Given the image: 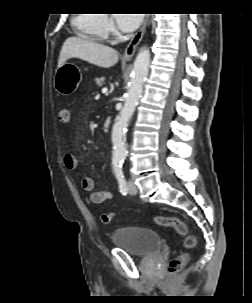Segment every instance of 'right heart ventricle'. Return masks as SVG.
<instances>
[{"label": "right heart ventricle", "instance_id": "1", "mask_svg": "<svg viewBox=\"0 0 252 303\" xmlns=\"http://www.w3.org/2000/svg\"><path fill=\"white\" fill-rule=\"evenodd\" d=\"M103 19L104 15L102 14H78L77 17L73 19V22L82 34L103 39L105 36L102 28Z\"/></svg>", "mask_w": 252, "mask_h": 303}]
</instances>
